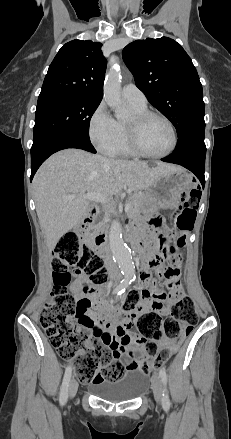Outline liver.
<instances>
[{
	"label": "liver",
	"mask_w": 231,
	"mask_h": 439,
	"mask_svg": "<svg viewBox=\"0 0 231 439\" xmlns=\"http://www.w3.org/2000/svg\"><path fill=\"white\" fill-rule=\"evenodd\" d=\"M182 169L169 163L128 161L65 149L47 159L33 179L39 223L51 252L59 239L75 227L88 208L85 192L101 193L106 199L123 189L146 190L161 175ZM76 196L74 199H69Z\"/></svg>",
	"instance_id": "6515ba94"
}]
</instances>
